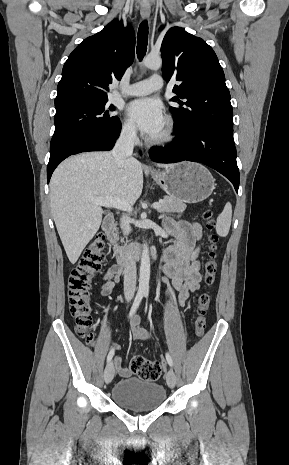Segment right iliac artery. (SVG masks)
<instances>
[{"mask_svg":"<svg viewBox=\"0 0 289 465\" xmlns=\"http://www.w3.org/2000/svg\"><path fill=\"white\" fill-rule=\"evenodd\" d=\"M144 296V293L143 292H138L136 297H135V300L133 302V305L131 307V310H130V313H129V317H132L134 315V313L136 312V310L138 309L139 305H140V302L142 300ZM114 348H112L107 356V362L109 363L112 359V357L114 356Z\"/></svg>","mask_w":289,"mask_h":465,"instance_id":"1","label":"right iliac artery"}]
</instances>
